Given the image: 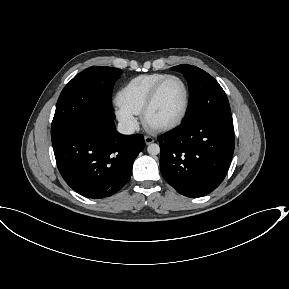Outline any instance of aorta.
Instances as JSON below:
<instances>
[{
  "label": "aorta",
  "mask_w": 289,
  "mask_h": 289,
  "mask_svg": "<svg viewBox=\"0 0 289 289\" xmlns=\"http://www.w3.org/2000/svg\"><path fill=\"white\" fill-rule=\"evenodd\" d=\"M147 151L152 156L158 155L160 153V147L158 144L153 143L147 147Z\"/></svg>",
  "instance_id": "1"
}]
</instances>
